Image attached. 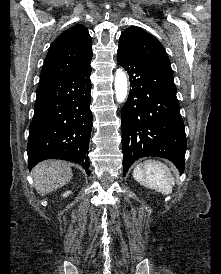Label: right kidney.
<instances>
[{
	"mask_svg": "<svg viewBox=\"0 0 221 274\" xmlns=\"http://www.w3.org/2000/svg\"><path fill=\"white\" fill-rule=\"evenodd\" d=\"M69 194H71V191H67L66 193L63 194V197L68 196Z\"/></svg>",
	"mask_w": 221,
	"mask_h": 274,
	"instance_id": "obj_1",
	"label": "right kidney"
}]
</instances>
